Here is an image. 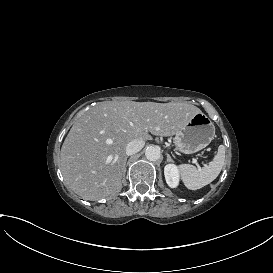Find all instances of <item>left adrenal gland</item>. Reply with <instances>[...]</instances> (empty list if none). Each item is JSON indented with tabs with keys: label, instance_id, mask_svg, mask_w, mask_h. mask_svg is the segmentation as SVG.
<instances>
[{
	"label": "left adrenal gland",
	"instance_id": "1",
	"mask_svg": "<svg viewBox=\"0 0 273 273\" xmlns=\"http://www.w3.org/2000/svg\"><path fill=\"white\" fill-rule=\"evenodd\" d=\"M166 156H167V160H166L167 162H174L168 153H166Z\"/></svg>",
	"mask_w": 273,
	"mask_h": 273
}]
</instances>
